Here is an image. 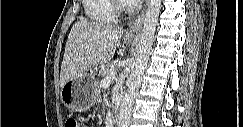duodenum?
<instances>
[{"label":"duodenum","mask_w":243,"mask_h":127,"mask_svg":"<svg viewBox=\"0 0 243 127\" xmlns=\"http://www.w3.org/2000/svg\"><path fill=\"white\" fill-rule=\"evenodd\" d=\"M120 110H121V105H118L117 108H116V112H115L116 117L118 116Z\"/></svg>","instance_id":"1"}]
</instances>
